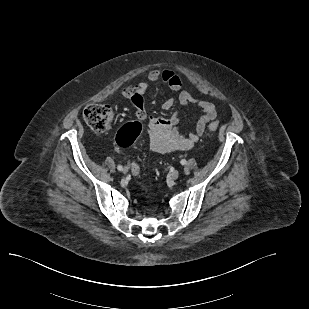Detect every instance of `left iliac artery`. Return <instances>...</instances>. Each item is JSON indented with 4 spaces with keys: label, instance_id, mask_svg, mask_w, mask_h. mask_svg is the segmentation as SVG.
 Wrapping results in <instances>:
<instances>
[{
    "label": "left iliac artery",
    "instance_id": "obj_1",
    "mask_svg": "<svg viewBox=\"0 0 309 309\" xmlns=\"http://www.w3.org/2000/svg\"><path fill=\"white\" fill-rule=\"evenodd\" d=\"M186 160L185 159H182L181 161H180V163L182 164V165H185L186 164Z\"/></svg>",
    "mask_w": 309,
    "mask_h": 309
}]
</instances>
